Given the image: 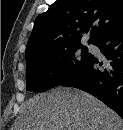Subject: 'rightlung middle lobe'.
Segmentation results:
<instances>
[{
	"instance_id": "obj_1",
	"label": "right lung middle lobe",
	"mask_w": 123,
	"mask_h": 130,
	"mask_svg": "<svg viewBox=\"0 0 123 130\" xmlns=\"http://www.w3.org/2000/svg\"><path fill=\"white\" fill-rule=\"evenodd\" d=\"M87 47L78 44L26 61L27 91L44 92L60 85L90 57Z\"/></svg>"
}]
</instances>
